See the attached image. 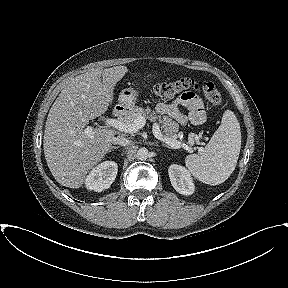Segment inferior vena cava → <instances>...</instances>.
Returning a JSON list of instances; mask_svg holds the SVG:
<instances>
[{
	"label": "inferior vena cava",
	"instance_id": "602c4592",
	"mask_svg": "<svg viewBox=\"0 0 288 288\" xmlns=\"http://www.w3.org/2000/svg\"><path fill=\"white\" fill-rule=\"evenodd\" d=\"M112 143L116 145L126 146L130 143V141L123 136H117L112 139Z\"/></svg>",
	"mask_w": 288,
	"mask_h": 288
}]
</instances>
